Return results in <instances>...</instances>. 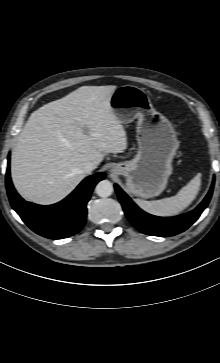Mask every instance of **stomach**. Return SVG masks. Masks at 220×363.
Wrapping results in <instances>:
<instances>
[{"label":"stomach","instance_id":"stomach-1","mask_svg":"<svg viewBox=\"0 0 220 363\" xmlns=\"http://www.w3.org/2000/svg\"><path fill=\"white\" fill-rule=\"evenodd\" d=\"M110 106L121 124L137 119L138 151L131 161L114 164L112 171L126 177L135 196L152 198L163 192L172 174L179 141L171 122L157 112L147 93L133 85L118 87Z\"/></svg>","mask_w":220,"mask_h":363}]
</instances>
